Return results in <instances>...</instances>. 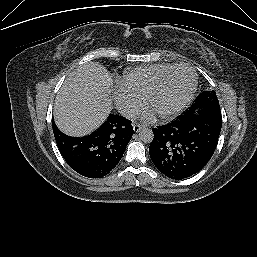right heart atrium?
I'll list each match as a JSON object with an SVG mask.
<instances>
[{"mask_svg": "<svg viewBox=\"0 0 257 257\" xmlns=\"http://www.w3.org/2000/svg\"><path fill=\"white\" fill-rule=\"evenodd\" d=\"M117 108L127 118H133L145 106V99L120 88L114 95Z\"/></svg>", "mask_w": 257, "mask_h": 257, "instance_id": "obj_1", "label": "right heart atrium"}]
</instances>
